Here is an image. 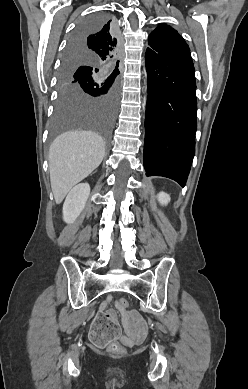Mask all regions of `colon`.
<instances>
[{
  "mask_svg": "<svg viewBox=\"0 0 248 389\" xmlns=\"http://www.w3.org/2000/svg\"><path fill=\"white\" fill-rule=\"evenodd\" d=\"M118 305L122 309L129 306L126 299H120ZM93 317L95 322L91 323L90 337L93 340V347L104 350L107 344V350L111 355L119 356L124 353V347L118 342H109L111 337H121L122 331L118 330L116 318H109L105 311H94Z\"/></svg>",
  "mask_w": 248,
  "mask_h": 389,
  "instance_id": "obj_1",
  "label": "colon"
}]
</instances>
